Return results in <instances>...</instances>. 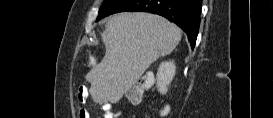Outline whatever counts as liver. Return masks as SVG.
I'll return each instance as SVG.
<instances>
[{"instance_id": "1", "label": "liver", "mask_w": 273, "mask_h": 118, "mask_svg": "<svg viewBox=\"0 0 273 118\" xmlns=\"http://www.w3.org/2000/svg\"><path fill=\"white\" fill-rule=\"evenodd\" d=\"M181 30L165 18L145 12H123L106 24V53L87 75L94 102H117L159 56L170 54Z\"/></svg>"}]
</instances>
